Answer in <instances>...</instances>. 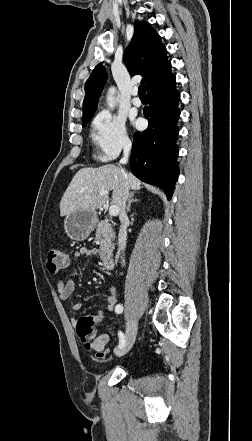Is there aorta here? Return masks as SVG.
I'll return each instance as SVG.
<instances>
[{
	"instance_id": "aorta-1",
	"label": "aorta",
	"mask_w": 252,
	"mask_h": 441,
	"mask_svg": "<svg viewBox=\"0 0 252 441\" xmlns=\"http://www.w3.org/2000/svg\"><path fill=\"white\" fill-rule=\"evenodd\" d=\"M115 91L116 89L114 87H111L108 90L107 103L110 108H113L115 106V99H114Z\"/></svg>"
}]
</instances>
